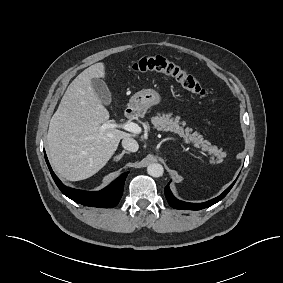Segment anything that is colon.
Wrapping results in <instances>:
<instances>
[{"mask_svg":"<svg viewBox=\"0 0 283 283\" xmlns=\"http://www.w3.org/2000/svg\"><path fill=\"white\" fill-rule=\"evenodd\" d=\"M136 72H157L173 78L183 89L200 97H206L208 91L202 84L192 76L186 69L174 62L160 57L145 56L132 64Z\"/></svg>","mask_w":283,"mask_h":283,"instance_id":"5ec220e1","label":"colon"}]
</instances>
